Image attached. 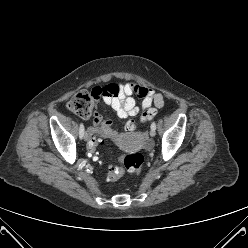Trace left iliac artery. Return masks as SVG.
I'll list each match as a JSON object with an SVG mask.
<instances>
[{
	"mask_svg": "<svg viewBox=\"0 0 248 248\" xmlns=\"http://www.w3.org/2000/svg\"><path fill=\"white\" fill-rule=\"evenodd\" d=\"M151 129H152V130H156V123H155V122H152V124H151Z\"/></svg>",
	"mask_w": 248,
	"mask_h": 248,
	"instance_id": "obj_1",
	"label": "left iliac artery"
}]
</instances>
